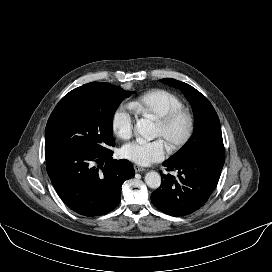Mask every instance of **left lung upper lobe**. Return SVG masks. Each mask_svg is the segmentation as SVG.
Segmentation results:
<instances>
[{
  "label": "left lung upper lobe",
  "instance_id": "1",
  "mask_svg": "<svg viewBox=\"0 0 272 272\" xmlns=\"http://www.w3.org/2000/svg\"><path fill=\"white\" fill-rule=\"evenodd\" d=\"M161 82L180 89L191 103L194 113V131L185 146L169 160L193 158L206 164L223 167L225 149L223 145L220 121L209 100L187 83L164 78Z\"/></svg>",
  "mask_w": 272,
  "mask_h": 272
}]
</instances>
